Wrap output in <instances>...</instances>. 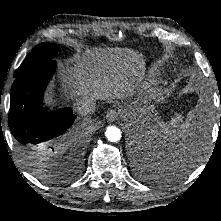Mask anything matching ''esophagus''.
Masks as SVG:
<instances>
[{"label":"esophagus","instance_id":"obj_1","mask_svg":"<svg viewBox=\"0 0 221 221\" xmlns=\"http://www.w3.org/2000/svg\"><path fill=\"white\" fill-rule=\"evenodd\" d=\"M119 115V112L116 110V109H111L107 115H106V119L109 121V122H113L117 119Z\"/></svg>","mask_w":221,"mask_h":221}]
</instances>
